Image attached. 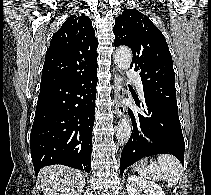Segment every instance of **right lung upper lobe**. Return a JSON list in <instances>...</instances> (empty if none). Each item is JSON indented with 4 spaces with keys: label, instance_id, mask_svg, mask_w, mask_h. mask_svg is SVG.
<instances>
[{
    "label": "right lung upper lobe",
    "instance_id": "1",
    "mask_svg": "<svg viewBox=\"0 0 211 195\" xmlns=\"http://www.w3.org/2000/svg\"><path fill=\"white\" fill-rule=\"evenodd\" d=\"M98 41L88 16L71 15L52 36L40 87L89 73L98 67Z\"/></svg>",
    "mask_w": 211,
    "mask_h": 195
}]
</instances>
